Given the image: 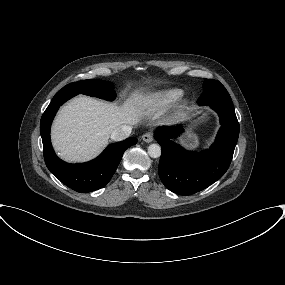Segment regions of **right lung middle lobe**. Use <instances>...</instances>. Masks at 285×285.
Here are the masks:
<instances>
[{"instance_id": "dd1d6c3e", "label": "right lung middle lobe", "mask_w": 285, "mask_h": 285, "mask_svg": "<svg viewBox=\"0 0 285 285\" xmlns=\"http://www.w3.org/2000/svg\"><path fill=\"white\" fill-rule=\"evenodd\" d=\"M60 91L70 92L74 95L81 93L110 101L116 97L113 84L103 80L91 79L70 83L64 86Z\"/></svg>"}]
</instances>
